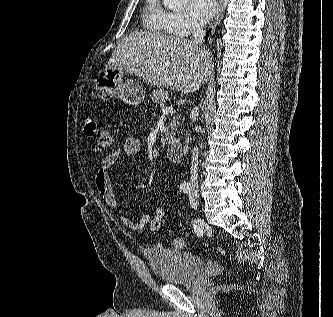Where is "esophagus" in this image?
<instances>
[{"label": "esophagus", "mask_w": 333, "mask_h": 317, "mask_svg": "<svg viewBox=\"0 0 333 317\" xmlns=\"http://www.w3.org/2000/svg\"><path fill=\"white\" fill-rule=\"evenodd\" d=\"M223 14H224L223 0H219V12L212 23V28H215L219 24V22L223 17Z\"/></svg>", "instance_id": "1"}]
</instances>
